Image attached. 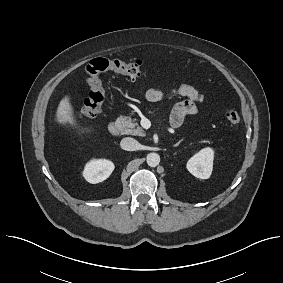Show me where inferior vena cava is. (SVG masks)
Returning a JSON list of instances; mask_svg holds the SVG:
<instances>
[{
	"label": "inferior vena cava",
	"instance_id": "obj_1",
	"mask_svg": "<svg viewBox=\"0 0 283 283\" xmlns=\"http://www.w3.org/2000/svg\"><path fill=\"white\" fill-rule=\"evenodd\" d=\"M140 144L137 140L131 137H126L121 140V147L127 151H135L138 150Z\"/></svg>",
	"mask_w": 283,
	"mask_h": 283
}]
</instances>
